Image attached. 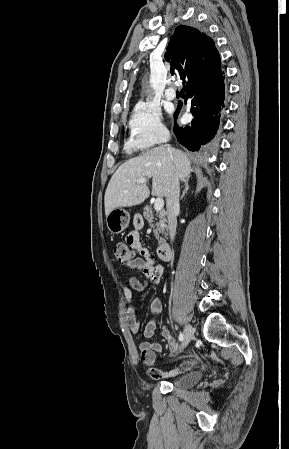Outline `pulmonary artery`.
Masks as SVG:
<instances>
[{
  "instance_id": "e3ab8cb5",
  "label": "pulmonary artery",
  "mask_w": 289,
  "mask_h": 449,
  "mask_svg": "<svg viewBox=\"0 0 289 449\" xmlns=\"http://www.w3.org/2000/svg\"><path fill=\"white\" fill-rule=\"evenodd\" d=\"M176 96V91L173 89V87L169 86L166 90H165V97L168 100H173Z\"/></svg>"
}]
</instances>
